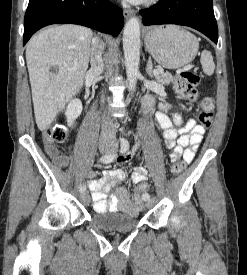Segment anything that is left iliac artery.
Wrapping results in <instances>:
<instances>
[{
	"instance_id": "1",
	"label": "left iliac artery",
	"mask_w": 247,
	"mask_h": 275,
	"mask_svg": "<svg viewBox=\"0 0 247 275\" xmlns=\"http://www.w3.org/2000/svg\"><path fill=\"white\" fill-rule=\"evenodd\" d=\"M129 149V142L126 139H121V152L125 153ZM142 198L146 201L150 199V195L148 193H144Z\"/></svg>"
}]
</instances>
